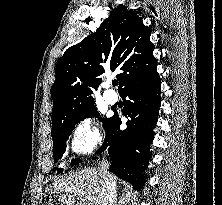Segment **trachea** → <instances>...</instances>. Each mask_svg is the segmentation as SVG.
I'll return each instance as SVG.
<instances>
[{"label":"trachea","instance_id":"obj_1","mask_svg":"<svg viewBox=\"0 0 222 205\" xmlns=\"http://www.w3.org/2000/svg\"><path fill=\"white\" fill-rule=\"evenodd\" d=\"M112 84H113V86H116L118 84V82L117 81H113Z\"/></svg>","mask_w":222,"mask_h":205}]
</instances>
